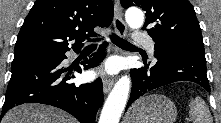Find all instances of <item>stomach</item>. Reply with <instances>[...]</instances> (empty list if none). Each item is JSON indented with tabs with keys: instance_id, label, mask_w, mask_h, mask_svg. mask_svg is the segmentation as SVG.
Listing matches in <instances>:
<instances>
[{
	"instance_id": "0dacf381",
	"label": "stomach",
	"mask_w": 221,
	"mask_h": 123,
	"mask_svg": "<svg viewBox=\"0 0 221 123\" xmlns=\"http://www.w3.org/2000/svg\"><path fill=\"white\" fill-rule=\"evenodd\" d=\"M175 104L166 96L153 94L138 99L128 110L125 123H174Z\"/></svg>"
}]
</instances>
